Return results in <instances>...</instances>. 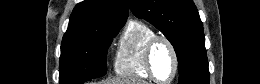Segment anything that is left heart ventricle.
I'll return each instance as SVG.
<instances>
[{"label": "left heart ventricle", "mask_w": 260, "mask_h": 84, "mask_svg": "<svg viewBox=\"0 0 260 84\" xmlns=\"http://www.w3.org/2000/svg\"><path fill=\"white\" fill-rule=\"evenodd\" d=\"M153 68L159 80H168L173 72V57L169 47L160 42L153 54Z\"/></svg>", "instance_id": "1"}]
</instances>
